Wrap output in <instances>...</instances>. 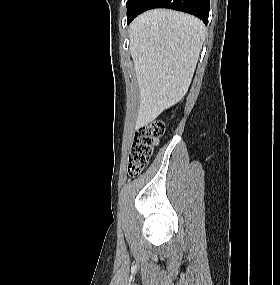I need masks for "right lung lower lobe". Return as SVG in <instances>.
<instances>
[{"label":"right lung lower lobe","instance_id":"right-lung-lower-lobe-1","mask_svg":"<svg viewBox=\"0 0 280 285\" xmlns=\"http://www.w3.org/2000/svg\"><path fill=\"white\" fill-rule=\"evenodd\" d=\"M153 8H170L187 12L208 22L210 0H140L134 12L128 17V24L142 12Z\"/></svg>","mask_w":280,"mask_h":285}]
</instances>
